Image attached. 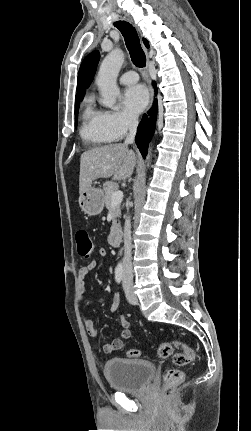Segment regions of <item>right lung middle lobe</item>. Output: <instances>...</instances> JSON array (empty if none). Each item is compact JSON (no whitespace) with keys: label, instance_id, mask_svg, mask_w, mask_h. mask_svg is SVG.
I'll return each mask as SVG.
<instances>
[{"label":"right lung middle lobe","instance_id":"dd1d6c3e","mask_svg":"<svg viewBox=\"0 0 251 431\" xmlns=\"http://www.w3.org/2000/svg\"><path fill=\"white\" fill-rule=\"evenodd\" d=\"M83 99L75 100V125H77V118H78V110H79V104Z\"/></svg>","mask_w":251,"mask_h":431}]
</instances>
